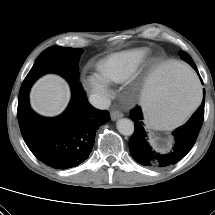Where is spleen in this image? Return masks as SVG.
<instances>
[{
  "label": "spleen",
  "mask_w": 215,
  "mask_h": 215,
  "mask_svg": "<svg viewBox=\"0 0 215 215\" xmlns=\"http://www.w3.org/2000/svg\"><path fill=\"white\" fill-rule=\"evenodd\" d=\"M203 85L188 63L173 60L158 67L147 79L142 107L155 129H167L182 122L197 106Z\"/></svg>",
  "instance_id": "1"
}]
</instances>
